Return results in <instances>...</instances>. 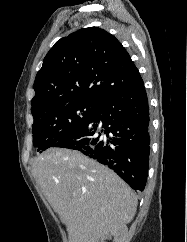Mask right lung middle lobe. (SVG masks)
Returning <instances> with one entry per match:
<instances>
[{"label":"right lung middle lobe","mask_w":187,"mask_h":242,"mask_svg":"<svg viewBox=\"0 0 187 242\" xmlns=\"http://www.w3.org/2000/svg\"><path fill=\"white\" fill-rule=\"evenodd\" d=\"M97 108L96 104L72 102L34 117L33 146L38 152L50 148L90 118Z\"/></svg>","instance_id":"right-lung-middle-lobe-1"}]
</instances>
